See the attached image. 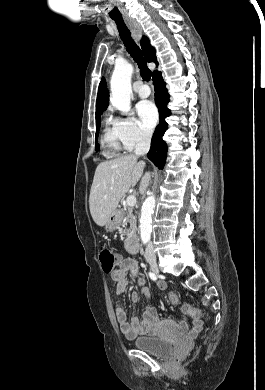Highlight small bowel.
I'll return each instance as SVG.
<instances>
[{"mask_svg": "<svg viewBox=\"0 0 265 390\" xmlns=\"http://www.w3.org/2000/svg\"><path fill=\"white\" fill-rule=\"evenodd\" d=\"M118 267L111 272V278L117 283L116 293L118 296L122 295L128 285V277L138 278V285L141 287V293L134 291L131 294L132 303H137L141 295L149 296V290L145 286L143 277H138V263L133 258H123L121 255H116ZM164 282H158V289H165ZM116 321L121 332L127 338H133L138 335H156L158 333L161 321L159 319L156 309L152 306H146L142 311L141 317L134 314L128 319L126 312L121 306L116 308ZM179 327L183 330L187 328L184 321L179 322ZM203 328V321L201 319H194L191 329L188 330L190 336H196Z\"/></svg>", "mask_w": 265, "mask_h": 390, "instance_id": "1", "label": "small bowel"}]
</instances>
